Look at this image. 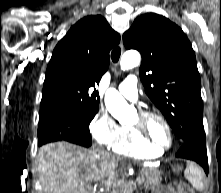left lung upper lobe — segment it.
I'll return each mask as SVG.
<instances>
[{
  "label": "left lung upper lobe",
  "instance_id": "1",
  "mask_svg": "<svg viewBox=\"0 0 221 193\" xmlns=\"http://www.w3.org/2000/svg\"><path fill=\"white\" fill-rule=\"evenodd\" d=\"M123 42L141 53L139 73L145 92L177 137L185 141L205 133L200 75L184 32L169 19L146 13L135 19Z\"/></svg>",
  "mask_w": 221,
  "mask_h": 193
}]
</instances>
